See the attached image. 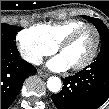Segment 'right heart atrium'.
<instances>
[{"mask_svg": "<svg viewBox=\"0 0 109 109\" xmlns=\"http://www.w3.org/2000/svg\"><path fill=\"white\" fill-rule=\"evenodd\" d=\"M16 41L21 56L32 64H38L43 56L51 55L57 49L40 27L19 32Z\"/></svg>", "mask_w": 109, "mask_h": 109, "instance_id": "1", "label": "right heart atrium"}]
</instances>
